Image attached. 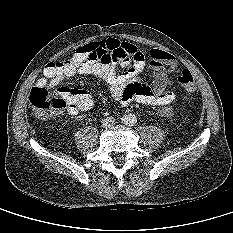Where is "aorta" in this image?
<instances>
[{"label": "aorta", "mask_w": 233, "mask_h": 233, "mask_svg": "<svg viewBox=\"0 0 233 233\" xmlns=\"http://www.w3.org/2000/svg\"><path fill=\"white\" fill-rule=\"evenodd\" d=\"M125 125L134 126L137 123V118L134 114H127L123 118Z\"/></svg>", "instance_id": "1"}]
</instances>
